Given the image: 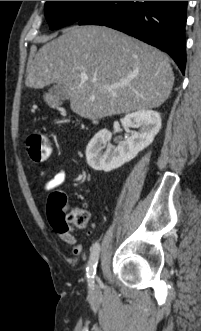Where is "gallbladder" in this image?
Returning a JSON list of instances; mask_svg holds the SVG:
<instances>
[{"instance_id": "gallbladder-1", "label": "gallbladder", "mask_w": 201, "mask_h": 331, "mask_svg": "<svg viewBox=\"0 0 201 331\" xmlns=\"http://www.w3.org/2000/svg\"><path fill=\"white\" fill-rule=\"evenodd\" d=\"M49 94L57 100H67L69 98L68 89L62 84H54L49 89Z\"/></svg>"}]
</instances>
